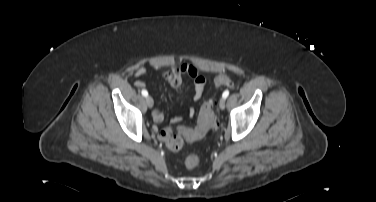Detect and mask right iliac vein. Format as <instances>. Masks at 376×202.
<instances>
[{
    "instance_id": "obj_1",
    "label": "right iliac vein",
    "mask_w": 376,
    "mask_h": 202,
    "mask_svg": "<svg viewBox=\"0 0 376 202\" xmlns=\"http://www.w3.org/2000/svg\"><path fill=\"white\" fill-rule=\"evenodd\" d=\"M153 99H152V97L151 96H147L146 97V104H147V106L149 107V108H152L153 107Z\"/></svg>"
}]
</instances>
